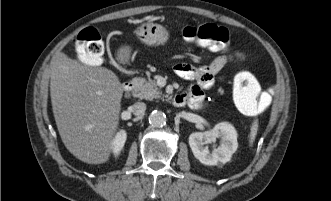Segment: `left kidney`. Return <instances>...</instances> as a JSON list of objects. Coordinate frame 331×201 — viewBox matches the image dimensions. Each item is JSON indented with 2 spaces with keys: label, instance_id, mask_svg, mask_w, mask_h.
<instances>
[{
  "label": "left kidney",
  "instance_id": "5707ae66",
  "mask_svg": "<svg viewBox=\"0 0 331 201\" xmlns=\"http://www.w3.org/2000/svg\"><path fill=\"white\" fill-rule=\"evenodd\" d=\"M217 138L221 140L220 146L210 152L208 144L214 143ZM189 145L195 158L202 164L208 166L224 164L237 150V132L231 124L221 122L209 131L192 133L189 136Z\"/></svg>",
  "mask_w": 331,
  "mask_h": 201
}]
</instances>
